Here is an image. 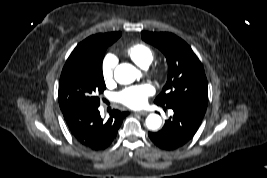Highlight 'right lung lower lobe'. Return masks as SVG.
Here are the masks:
<instances>
[{"label": "right lung lower lobe", "mask_w": 267, "mask_h": 178, "mask_svg": "<svg viewBox=\"0 0 267 178\" xmlns=\"http://www.w3.org/2000/svg\"><path fill=\"white\" fill-rule=\"evenodd\" d=\"M99 106L86 103H71L61 108L71 135L83 147L91 150H104L116 138L126 112L112 110L104 120Z\"/></svg>", "instance_id": "98d812e1"}]
</instances>
